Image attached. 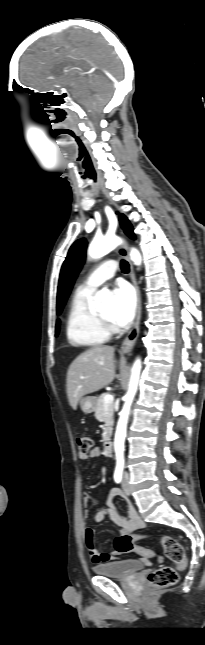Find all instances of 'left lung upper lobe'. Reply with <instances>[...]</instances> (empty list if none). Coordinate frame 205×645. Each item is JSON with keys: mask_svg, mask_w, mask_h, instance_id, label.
<instances>
[{"mask_svg": "<svg viewBox=\"0 0 205 645\" xmlns=\"http://www.w3.org/2000/svg\"><path fill=\"white\" fill-rule=\"evenodd\" d=\"M119 221L125 234L131 239H135L132 225L127 217L120 214ZM87 241L82 238L73 243L70 247L68 255L62 265L58 292H57V314H60L62 308L70 294L74 281L81 270V267L86 257Z\"/></svg>", "mask_w": 205, "mask_h": 645, "instance_id": "1", "label": "left lung upper lobe"}]
</instances>
